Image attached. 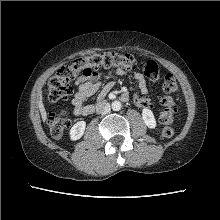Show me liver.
<instances>
[{
  "label": "liver",
  "mask_w": 220,
  "mask_h": 220,
  "mask_svg": "<svg viewBox=\"0 0 220 220\" xmlns=\"http://www.w3.org/2000/svg\"><path fill=\"white\" fill-rule=\"evenodd\" d=\"M38 107H39V110H40V113H41L42 120L45 121L47 119V113H46V110L44 108V104L42 102L41 93H40V97H39V101H38Z\"/></svg>",
  "instance_id": "obj_1"
}]
</instances>
